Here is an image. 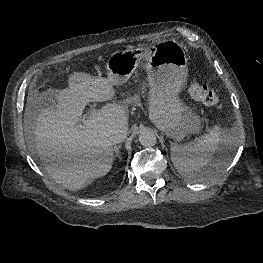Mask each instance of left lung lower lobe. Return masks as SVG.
<instances>
[{
	"mask_svg": "<svg viewBox=\"0 0 263 263\" xmlns=\"http://www.w3.org/2000/svg\"><path fill=\"white\" fill-rule=\"evenodd\" d=\"M215 166H216V164H215L214 166L206 169L205 172H206V173H211V172H213V171L215 170Z\"/></svg>",
	"mask_w": 263,
	"mask_h": 263,
	"instance_id": "1",
	"label": "left lung lower lobe"
}]
</instances>
